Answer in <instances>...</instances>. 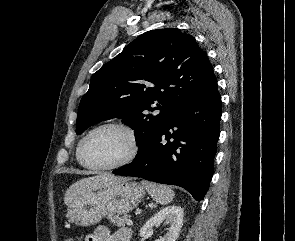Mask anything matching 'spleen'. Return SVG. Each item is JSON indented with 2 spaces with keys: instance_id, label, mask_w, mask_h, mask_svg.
<instances>
[{
  "instance_id": "1",
  "label": "spleen",
  "mask_w": 295,
  "mask_h": 241,
  "mask_svg": "<svg viewBox=\"0 0 295 241\" xmlns=\"http://www.w3.org/2000/svg\"><path fill=\"white\" fill-rule=\"evenodd\" d=\"M142 186L147 190L149 195L159 204L166 205L170 203L175 194L174 191L162 184H156L148 181H141Z\"/></svg>"
}]
</instances>
